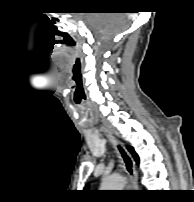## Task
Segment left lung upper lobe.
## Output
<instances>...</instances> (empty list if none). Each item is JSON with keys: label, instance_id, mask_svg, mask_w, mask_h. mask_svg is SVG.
<instances>
[{"label": "left lung upper lobe", "instance_id": "1", "mask_svg": "<svg viewBox=\"0 0 194 202\" xmlns=\"http://www.w3.org/2000/svg\"><path fill=\"white\" fill-rule=\"evenodd\" d=\"M127 149H128L129 152L132 154V156L134 157L135 161H136L137 163H139V157H138V155L136 154V152L134 151L133 147L128 146ZM87 187H88V186H87ZM87 187H86V189H87Z\"/></svg>", "mask_w": 194, "mask_h": 202}]
</instances>
